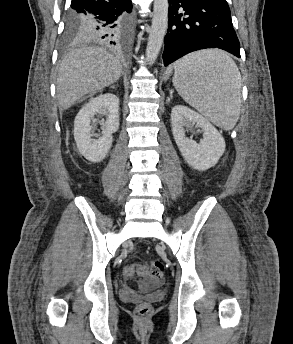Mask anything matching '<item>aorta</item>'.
I'll list each match as a JSON object with an SVG mask.
<instances>
[{"label": "aorta", "mask_w": 293, "mask_h": 344, "mask_svg": "<svg viewBox=\"0 0 293 344\" xmlns=\"http://www.w3.org/2000/svg\"><path fill=\"white\" fill-rule=\"evenodd\" d=\"M168 0H154L151 30L146 47V61L152 65L161 50L168 28Z\"/></svg>", "instance_id": "aorta-1"}]
</instances>
